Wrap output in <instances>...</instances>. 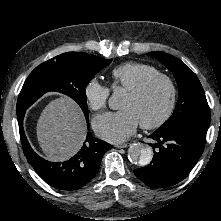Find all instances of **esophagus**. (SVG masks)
<instances>
[{
  "instance_id": "1",
  "label": "esophagus",
  "mask_w": 221,
  "mask_h": 221,
  "mask_svg": "<svg viewBox=\"0 0 221 221\" xmlns=\"http://www.w3.org/2000/svg\"><path fill=\"white\" fill-rule=\"evenodd\" d=\"M131 145H132L131 142H127V143H124V144H116L115 147L116 148H126V147H129Z\"/></svg>"
}]
</instances>
